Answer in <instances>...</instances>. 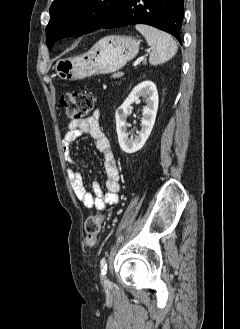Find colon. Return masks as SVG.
<instances>
[{
    "label": "colon",
    "instance_id": "colon-1",
    "mask_svg": "<svg viewBox=\"0 0 240 329\" xmlns=\"http://www.w3.org/2000/svg\"><path fill=\"white\" fill-rule=\"evenodd\" d=\"M61 104L65 107L67 116L77 120L93 109L95 97L86 92L68 91L62 95ZM103 221V215H92L86 219L85 243L88 247H93L96 244Z\"/></svg>",
    "mask_w": 240,
    "mask_h": 329
}]
</instances>
